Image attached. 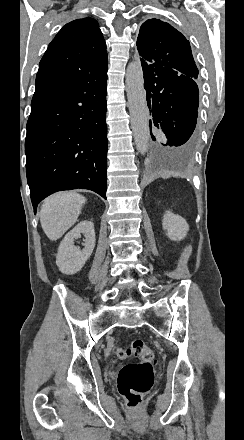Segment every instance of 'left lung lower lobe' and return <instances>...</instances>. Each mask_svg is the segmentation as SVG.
I'll list each match as a JSON object with an SVG mask.
<instances>
[{
  "instance_id": "obj_1",
  "label": "left lung lower lobe",
  "mask_w": 244,
  "mask_h": 440,
  "mask_svg": "<svg viewBox=\"0 0 244 440\" xmlns=\"http://www.w3.org/2000/svg\"><path fill=\"white\" fill-rule=\"evenodd\" d=\"M143 72L147 105L152 114L150 152L157 155L189 151L194 142L198 116L196 79L159 66L147 65ZM152 125L164 132L166 143L155 139Z\"/></svg>"
}]
</instances>
